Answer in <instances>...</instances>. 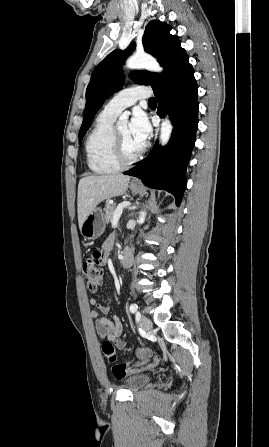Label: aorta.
Returning <instances> with one entry per match:
<instances>
[{
    "label": "aorta",
    "instance_id": "obj_1",
    "mask_svg": "<svg viewBox=\"0 0 269 447\" xmlns=\"http://www.w3.org/2000/svg\"><path fill=\"white\" fill-rule=\"evenodd\" d=\"M128 70H150V72H163L160 64H158L156 58L150 56V54H133L128 60H126V66ZM128 116L126 114H121L118 122L120 130H128ZM173 132V126L168 118H164L159 134V140L161 146H166L168 144L171 134ZM146 212H140L139 224H144Z\"/></svg>",
    "mask_w": 269,
    "mask_h": 447
}]
</instances>
